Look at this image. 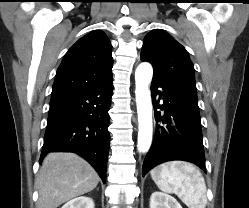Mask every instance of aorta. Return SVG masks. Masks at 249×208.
I'll use <instances>...</instances> for the list:
<instances>
[{
	"instance_id": "obj_1",
	"label": "aorta",
	"mask_w": 249,
	"mask_h": 208,
	"mask_svg": "<svg viewBox=\"0 0 249 208\" xmlns=\"http://www.w3.org/2000/svg\"><path fill=\"white\" fill-rule=\"evenodd\" d=\"M152 76L151 64L143 62L137 67L135 72V95L139 123L137 148L143 153L149 150L152 142V102L149 90Z\"/></svg>"
}]
</instances>
